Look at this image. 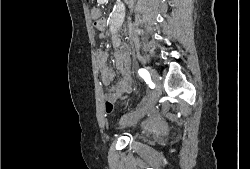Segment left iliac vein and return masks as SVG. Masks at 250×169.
<instances>
[{"instance_id":"1","label":"left iliac vein","mask_w":250,"mask_h":169,"mask_svg":"<svg viewBox=\"0 0 250 169\" xmlns=\"http://www.w3.org/2000/svg\"><path fill=\"white\" fill-rule=\"evenodd\" d=\"M150 75L152 80L155 83V90L151 94L150 98L148 99L147 103L144 107L139 108L138 110L124 115L120 119V125H128L137 121L138 119L142 118L155 104L161 92V82L158 73L155 69L149 68Z\"/></svg>"}]
</instances>
